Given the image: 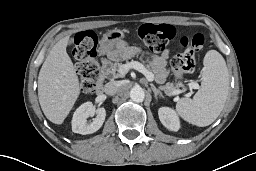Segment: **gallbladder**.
<instances>
[{"instance_id": "gallbladder-1", "label": "gallbladder", "mask_w": 256, "mask_h": 171, "mask_svg": "<svg viewBox=\"0 0 256 171\" xmlns=\"http://www.w3.org/2000/svg\"><path fill=\"white\" fill-rule=\"evenodd\" d=\"M73 43V40L72 39H69L68 40V44L70 45V44H72Z\"/></svg>"}]
</instances>
